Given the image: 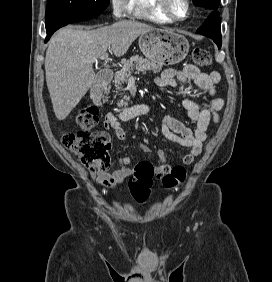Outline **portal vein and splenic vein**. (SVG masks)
Segmentation results:
<instances>
[{
	"label": "portal vein and splenic vein",
	"instance_id": "18ae733b",
	"mask_svg": "<svg viewBox=\"0 0 272 282\" xmlns=\"http://www.w3.org/2000/svg\"><path fill=\"white\" fill-rule=\"evenodd\" d=\"M108 59V54L107 53H104L101 57H100V60H106ZM97 61V60H96Z\"/></svg>",
	"mask_w": 272,
	"mask_h": 282
}]
</instances>
